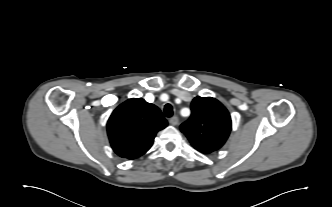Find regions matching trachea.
I'll return each mask as SVG.
<instances>
[{
	"instance_id": "3493384b",
	"label": "trachea",
	"mask_w": 332,
	"mask_h": 207,
	"mask_svg": "<svg viewBox=\"0 0 332 207\" xmlns=\"http://www.w3.org/2000/svg\"><path fill=\"white\" fill-rule=\"evenodd\" d=\"M164 113L167 117H171L173 115V108L171 104H166L164 107Z\"/></svg>"
}]
</instances>
